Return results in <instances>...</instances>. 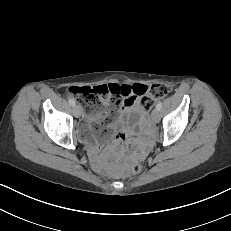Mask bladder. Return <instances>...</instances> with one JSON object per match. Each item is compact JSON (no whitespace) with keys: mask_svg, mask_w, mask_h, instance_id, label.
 <instances>
[{"mask_svg":"<svg viewBox=\"0 0 231 231\" xmlns=\"http://www.w3.org/2000/svg\"><path fill=\"white\" fill-rule=\"evenodd\" d=\"M95 133L96 130L94 128L78 127L76 130L78 139L85 144L91 143L94 140Z\"/></svg>","mask_w":231,"mask_h":231,"instance_id":"bladder-1","label":"bladder"}]
</instances>
